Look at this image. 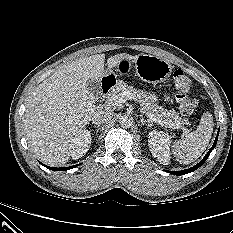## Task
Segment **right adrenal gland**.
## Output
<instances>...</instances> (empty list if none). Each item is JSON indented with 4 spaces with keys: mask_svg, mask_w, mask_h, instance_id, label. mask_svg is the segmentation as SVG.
I'll return each mask as SVG.
<instances>
[{
    "mask_svg": "<svg viewBox=\"0 0 233 233\" xmlns=\"http://www.w3.org/2000/svg\"><path fill=\"white\" fill-rule=\"evenodd\" d=\"M101 126L100 125H94V128H100Z\"/></svg>",
    "mask_w": 233,
    "mask_h": 233,
    "instance_id": "2a0ac1e0",
    "label": "right adrenal gland"
}]
</instances>
